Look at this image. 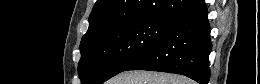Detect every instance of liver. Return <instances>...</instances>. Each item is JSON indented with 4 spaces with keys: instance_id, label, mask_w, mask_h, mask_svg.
I'll return each mask as SVG.
<instances>
[{
    "instance_id": "1",
    "label": "liver",
    "mask_w": 260,
    "mask_h": 84,
    "mask_svg": "<svg viewBox=\"0 0 260 84\" xmlns=\"http://www.w3.org/2000/svg\"><path fill=\"white\" fill-rule=\"evenodd\" d=\"M112 84H192L184 76L151 72V71H126L117 75Z\"/></svg>"
}]
</instances>
